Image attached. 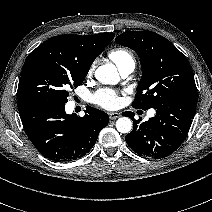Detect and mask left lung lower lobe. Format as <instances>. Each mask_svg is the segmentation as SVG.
Masks as SVG:
<instances>
[{"mask_svg":"<svg viewBox=\"0 0 212 212\" xmlns=\"http://www.w3.org/2000/svg\"><path fill=\"white\" fill-rule=\"evenodd\" d=\"M198 97L180 96L155 108L156 115L139 124L133 119V130L126 135L129 147L140 156L155 159L172 154L183 143L195 115Z\"/></svg>","mask_w":212,"mask_h":212,"instance_id":"obj_1","label":"left lung lower lobe"}]
</instances>
